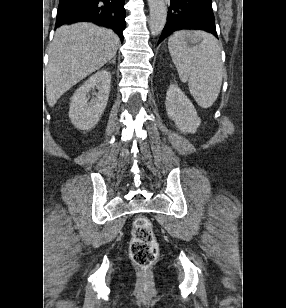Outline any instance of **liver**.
<instances>
[{"label": "liver", "instance_id": "obj_1", "mask_svg": "<svg viewBox=\"0 0 286 308\" xmlns=\"http://www.w3.org/2000/svg\"><path fill=\"white\" fill-rule=\"evenodd\" d=\"M119 42L112 30L91 23L58 28L45 73L48 105L53 107L66 91L110 61Z\"/></svg>", "mask_w": 286, "mask_h": 308}]
</instances>
